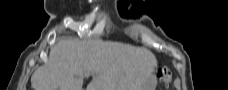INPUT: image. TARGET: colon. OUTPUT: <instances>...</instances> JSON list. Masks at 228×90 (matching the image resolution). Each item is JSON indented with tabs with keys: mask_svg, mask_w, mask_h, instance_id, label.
Wrapping results in <instances>:
<instances>
[{
	"mask_svg": "<svg viewBox=\"0 0 228 90\" xmlns=\"http://www.w3.org/2000/svg\"><path fill=\"white\" fill-rule=\"evenodd\" d=\"M161 77L166 86L171 82V71L166 66L161 68Z\"/></svg>",
	"mask_w": 228,
	"mask_h": 90,
	"instance_id": "obj_1",
	"label": "colon"
}]
</instances>
